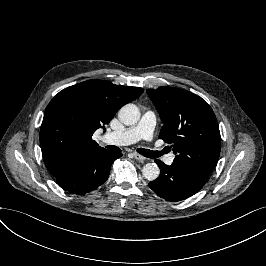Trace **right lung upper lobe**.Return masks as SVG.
I'll return each mask as SVG.
<instances>
[{"label":"right lung upper lobe","instance_id":"obj_1","mask_svg":"<svg viewBox=\"0 0 266 266\" xmlns=\"http://www.w3.org/2000/svg\"><path fill=\"white\" fill-rule=\"evenodd\" d=\"M143 91L103 80H88L60 91L47 106L40 128L49 172L56 177L72 157L103 149L92 139L93 133Z\"/></svg>","mask_w":266,"mask_h":266}]
</instances>
